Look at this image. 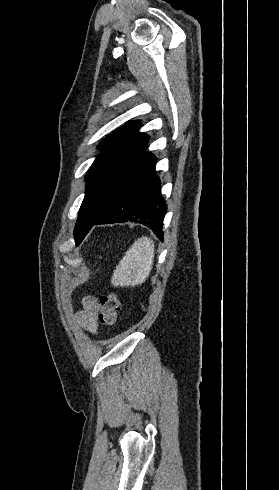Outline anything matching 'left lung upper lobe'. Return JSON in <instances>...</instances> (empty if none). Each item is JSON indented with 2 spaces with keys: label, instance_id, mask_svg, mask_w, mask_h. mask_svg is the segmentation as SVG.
<instances>
[{
  "label": "left lung upper lobe",
  "instance_id": "5c2ea615",
  "mask_svg": "<svg viewBox=\"0 0 279 490\" xmlns=\"http://www.w3.org/2000/svg\"><path fill=\"white\" fill-rule=\"evenodd\" d=\"M139 126V121H129L98 146L101 153L86 174L85 197L74 229L77 246L111 209L122 185L145 155L149 137L138 133Z\"/></svg>",
  "mask_w": 279,
  "mask_h": 490
}]
</instances>
